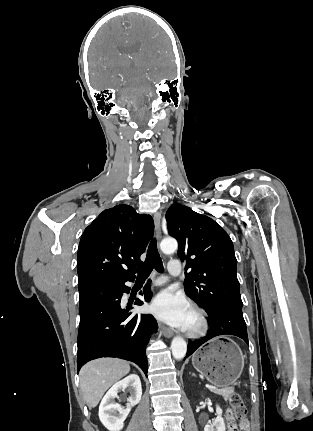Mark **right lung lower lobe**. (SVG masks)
<instances>
[{
    "mask_svg": "<svg viewBox=\"0 0 313 431\" xmlns=\"http://www.w3.org/2000/svg\"><path fill=\"white\" fill-rule=\"evenodd\" d=\"M134 279L94 282L78 287V371L90 360L117 357L136 363L147 375L145 349L158 325L152 315L131 311L132 303L140 306L143 305L142 300L135 299L127 306L122 303L123 293L129 292L125 282ZM140 294L146 301L152 297L148 285Z\"/></svg>",
    "mask_w": 313,
    "mask_h": 431,
    "instance_id": "1",
    "label": "right lung lower lobe"
}]
</instances>
